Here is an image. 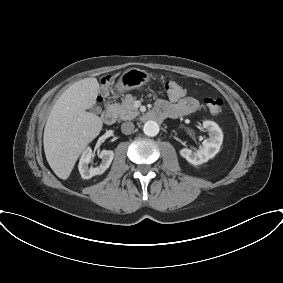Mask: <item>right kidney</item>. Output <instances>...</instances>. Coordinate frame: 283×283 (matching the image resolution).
Instances as JSON below:
<instances>
[{"mask_svg": "<svg viewBox=\"0 0 283 283\" xmlns=\"http://www.w3.org/2000/svg\"><path fill=\"white\" fill-rule=\"evenodd\" d=\"M94 154L91 148H87L80 158L78 165L79 172L83 179H90L95 175H100L105 172V170L110 166L114 153L111 150H102L98 157L102 159L100 166L98 167H89V163L92 161Z\"/></svg>", "mask_w": 283, "mask_h": 283, "instance_id": "1", "label": "right kidney"}]
</instances>
